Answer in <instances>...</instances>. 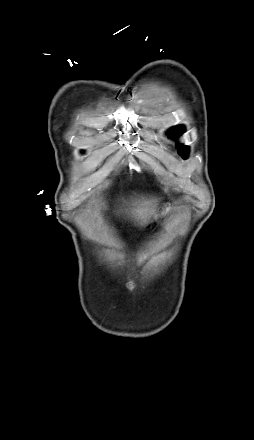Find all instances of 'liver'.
Here are the masks:
<instances>
[{
    "label": "liver",
    "instance_id": "obj_1",
    "mask_svg": "<svg viewBox=\"0 0 254 440\" xmlns=\"http://www.w3.org/2000/svg\"><path fill=\"white\" fill-rule=\"evenodd\" d=\"M132 207L126 209L125 212L141 226L148 224L150 219L157 212L158 199L145 198L135 199L132 201Z\"/></svg>",
    "mask_w": 254,
    "mask_h": 440
}]
</instances>
